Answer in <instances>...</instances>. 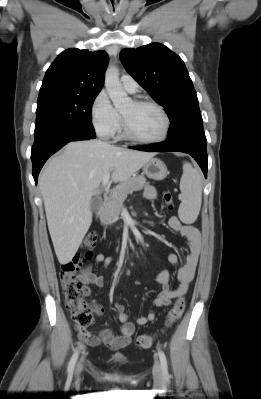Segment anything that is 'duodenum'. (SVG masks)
Returning a JSON list of instances; mask_svg holds the SVG:
<instances>
[{
	"mask_svg": "<svg viewBox=\"0 0 261 399\" xmlns=\"http://www.w3.org/2000/svg\"><path fill=\"white\" fill-rule=\"evenodd\" d=\"M109 202V195H105L103 197V202H102V206H106Z\"/></svg>",
	"mask_w": 261,
	"mask_h": 399,
	"instance_id": "1",
	"label": "duodenum"
}]
</instances>
